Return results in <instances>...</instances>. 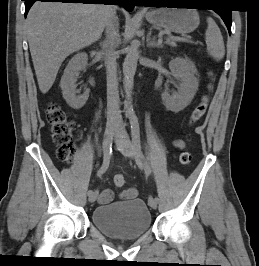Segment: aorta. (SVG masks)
Listing matches in <instances>:
<instances>
[{"mask_svg": "<svg viewBox=\"0 0 259 266\" xmlns=\"http://www.w3.org/2000/svg\"><path fill=\"white\" fill-rule=\"evenodd\" d=\"M139 58V42L132 41L123 63V84L126 93L125 109L127 114H133L131 94L134 84V76Z\"/></svg>", "mask_w": 259, "mask_h": 266, "instance_id": "1", "label": "aorta"}]
</instances>
